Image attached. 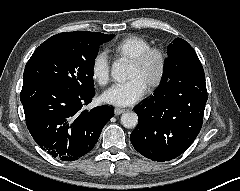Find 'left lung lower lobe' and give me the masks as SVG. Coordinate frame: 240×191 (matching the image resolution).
<instances>
[{
  "instance_id": "left-lung-lower-lobe-1",
  "label": "left lung lower lobe",
  "mask_w": 240,
  "mask_h": 191,
  "mask_svg": "<svg viewBox=\"0 0 240 191\" xmlns=\"http://www.w3.org/2000/svg\"><path fill=\"white\" fill-rule=\"evenodd\" d=\"M207 91L204 70L194 68L156 89L134 110L133 147L153 161H169L193 143L201 130Z\"/></svg>"
}]
</instances>
